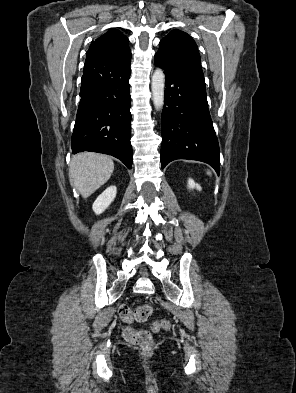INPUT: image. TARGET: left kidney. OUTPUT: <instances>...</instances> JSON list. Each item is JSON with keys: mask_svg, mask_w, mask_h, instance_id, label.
I'll return each instance as SVG.
<instances>
[{"mask_svg": "<svg viewBox=\"0 0 296 393\" xmlns=\"http://www.w3.org/2000/svg\"><path fill=\"white\" fill-rule=\"evenodd\" d=\"M188 188L189 189H197L198 191H201V186L197 183H195V181L191 178L188 179Z\"/></svg>", "mask_w": 296, "mask_h": 393, "instance_id": "left-kidney-1", "label": "left kidney"}]
</instances>
